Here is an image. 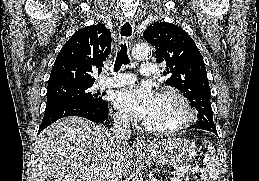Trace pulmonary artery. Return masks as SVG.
I'll list each match as a JSON object with an SVG mask.
<instances>
[{"mask_svg":"<svg viewBox=\"0 0 259 181\" xmlns=\"http://www.w3.org/2000/svg\"><path fill=\"white\" fill-rule=\"evenodd\" d=\"M156 66L152 62H144L141 66L142 75L154 76L156 74ZM135 81L133 75L127 72H117L113 76L101 79L99 81L100 88L120 87L132 84Z\"/></svg>","mask_w":259,"mask_h":181,"instance_id":"1","label":"pulmonary artery"}]
</instances>
